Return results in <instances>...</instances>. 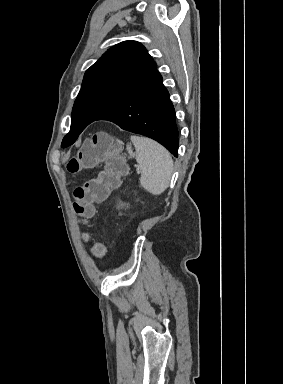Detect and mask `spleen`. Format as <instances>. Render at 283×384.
<instances>
[{
  "mask_svg": "<svg viewBox=\"0 0 283 384\" xmlns=\"http://www.w3.org/2000/svg\"><path fill=\"white\" fill-rule=\"evenodd\" d=\"M136 154H134L130 144L126 150L130 156H135L140 168V186L153 194L159 196L168 188L173 174V160L166 148L149 140V138H130Z\"/></svg>",
  "mask_w": 283,
  "mask_h": 384,
  "instance_id": "1",
  "label": "spleen"
}]
</instances>
